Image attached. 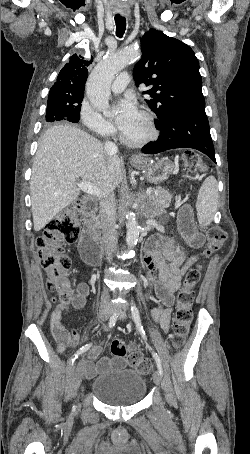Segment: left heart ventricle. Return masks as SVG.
Here are the masks:
<instances>
[{
  "label": "left heart ventricle",
  "instance_id": "1",
  "mask_svg": "<svg viewBox=\"0 0 250 454\" xmlns=\"http://www.w3.org/2000/svg\"><path fill=\"white\" fill-rule=\"evenodd\" d=\"M122 133L126 138L131 140H138L147 135L148 128L140 113L130 126L122 131Z\"/></svg>",
  "mask_w": 250,
  "mask_h": 454
}]
</instances>
